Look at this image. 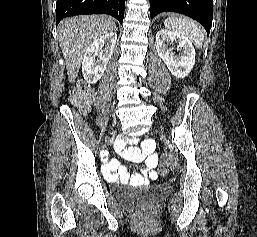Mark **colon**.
Masks as SVG:
<instances>
[{
    "label": "colon",
    "mask_w": 257,
    "mask_h": 237,
    "mask_svg": "<svg viewBox=\"0 0 257 237\" xmlns=\"http://www.w3.org/2000/svg\"><path fill=\"white\" fill-rule=\"evenodd\" d=\"M92 90L85 82H78L75 88L72 90V103L80 110H87L90 107L92 100ZM163 167L162 173H166L169 169L173 168L176 164L174 155L167 153L162 157Z\"/></svg>",
    "instance_id": "obj_1"
}]
</instances>
